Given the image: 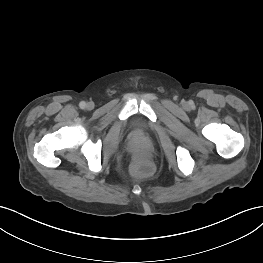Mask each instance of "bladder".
<instances>
[{"instance_id":"obj_1","label":"bladder","mask_w":263,"mask_h":263,"mask_svg":"<svg viewBox=\"0 0 263 263\" xmlns=\"http://www.w3.org/2000/svg\"><path fill=\"white\" fill-rule=\"evenodd\" d=\"M133 127H134V129H136L138 131H141V132H143V131H145L147 129L146 125L140 120L134 121L133 122Z\"/></svg>"}]
</instances>
